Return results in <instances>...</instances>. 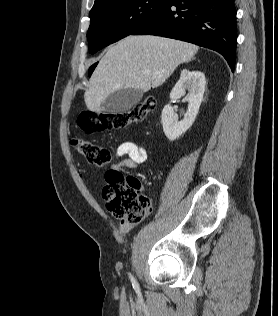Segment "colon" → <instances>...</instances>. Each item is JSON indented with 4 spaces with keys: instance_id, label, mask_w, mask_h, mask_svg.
Returning <instances> with one entry per match:
<instances>
[{
    "instance_id": "colon-1",
    "label": "colon",
    "mask_w": 278,
    "mask_h": 316,
    "mask_svg": "<svg viewBox=\"0 0 278 316\" xmlns=\"http://www.w3.org/2000/svg\"><path fill=\"white\" fill-rule=\"evenodd\" d=\"M155 108V100L147 98L131 110L118 113H95L84 110L77 119L79 129L92 134L109 129L124 128L142 121ZM71 143L87 161L93 165L105 166L112 160L109 149L98 146L86 139H72ZM103 198L108 210L117 218L129 224L139 223L149 212V200L140 193V181L133 176H125L121 170H109L105 176Z\"/></svg>"
}]
</instances>
